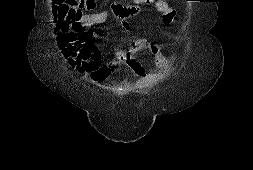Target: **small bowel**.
Masks as SVG:
<instances>
[{"label": "small bowel", "instance_id": "small-bowel-1", "mask_svg": "<svg viewBox=\"0 0 253 170\" xmlns=\"http://www.w3.org/2000/svg\"><path fill=\"white\" fill-rule=\"evenodd\" d=\"M133 1V5L114 3L111 4L109 11L81 14L72 20L58 22L55 33L61 45V54L68 65L95 82L109 77L120 64L128 66L138 76H145L147 71L137 56L144 51H150L154 56L156 66L161 69L167 68L170 65L169 58L160 52L159 45L153 44L147 38L133 40L128 49H118L114 59L102 61L98 46L100 26L112 15L119 21L123 31H129V19L139 15L142 7L147 5L141 0ZM91 5L92 8L96 6L94 0ZM152 6L162 13L166 24L172 23L174 11L166 2L160 0Z\"/></svg>", "mask_w": 253, "mask_h": 170}]
</instances>
